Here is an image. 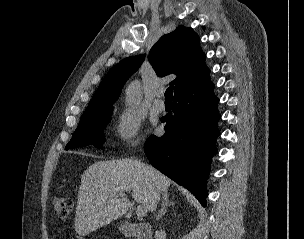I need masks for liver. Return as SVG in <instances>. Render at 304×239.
I'll list each match as a JSON object with an SVG mask.
<instances>
[{
  "instance_id": "liver-1",
  "label": "liver",
  "mask_w": 304,
  "mask_h": 239,
  "mask_svg": "<svg viewBox=\"0 0 304 239\" xmlns=\"http://www.w3.org/2000/svg\"><path fill=\"white\" fill-rule=\"evenodd\" d=\"M170 184L168 177L138 160L97 161L81 178L75 230L80 236H86L122 217L130 207L125 195L129 191L137 203L153 211L154 193L167 191Z\"/></svg>"
}]
</instances>
